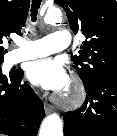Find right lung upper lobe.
Returning <instances> with one entry per match:
<instances>
[{"mask_svg":"<svg viewBox=\"0 0 117 136\" xmlns=\"http://www.w3.org/2000/svg\"><path fill=\"white\" fill-rule=\"evenodd\" d=\"M30 0H0V59L7 52L2 39L10 33L21 34L29 10Z\"/></svg>","mask_w":117,"mask_h":136,"instance_id":"obj_1","label":"right lung upper lobe"}]
</instances>
